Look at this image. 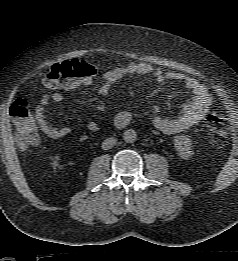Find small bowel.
I'll use <instances>...</instances> for the list:
<instances>
[{
  "instance_id": "1",
  "label": "small bowel",
  "mask_w": 238,
  "mask_h": 261,
  "mask_svg": "<svg viewBox=\"0 0 238 261\" xmlns=\"http://www.w3.org/2000/svg\"><path fill=\"white\" fill-rule=\"evenodd\" d=\"M146 75L153 78L157 83L164 84L167 81L182 83L193 94L192 98L183 105L180 113L174 118H166L158 114L156 108L153 109L152 124L159 131L165 134H177L198 124L206 116L212 105V96L207 87L196 78L179 72H168L162 68L153 67L145 62H132L122 67H117L105 71L102 75L103 84L99 88L101 96H107L112 85L129 75ZM93 82V77H86L75 82L67 89H56L52 93H45L41 96L39 103L35 107V120L41 131L51 139H58L67 136L70 128L67 126L56 127L51 124L46 117V107L50 102L59 103L64 99V91L77 86H89ZM135 122V116L130 110H122L114 118V124L118 128H124ZM90 132L99 129L95 121L87 123Z\"/></svg>"
}]
</instances>
